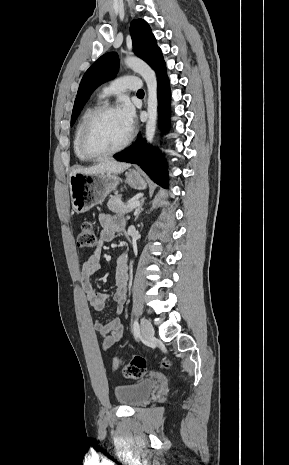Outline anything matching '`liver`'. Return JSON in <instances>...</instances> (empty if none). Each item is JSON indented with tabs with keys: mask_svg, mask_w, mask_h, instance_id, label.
<instances>
[{
	"mask_svg": "<svg viewBox=\"0 0 289 465\" xmlns=\"http://www.w3.org/2000/svg\"><path fill=\"white\" fill-rule=\"evenodd\" d=\"M130 167L129 163L117 162L115 160H106L97 165L87 168L73 169L70 175L77 173L84 174H119Z\"/></svg>",
	"mask_w": 289,
	"mask_h": 465,
	"instance_id": "liver-1",
	"label": "liver"
}]
</instances>
